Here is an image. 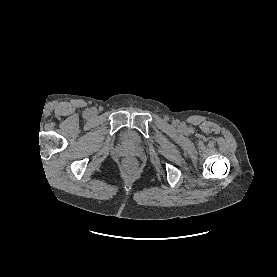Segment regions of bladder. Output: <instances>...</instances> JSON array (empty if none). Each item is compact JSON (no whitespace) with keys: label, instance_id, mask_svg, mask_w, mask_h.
<instances>
[{"label":"bladder","instance_id":"1","mask_svg":"<svg viewBox=\"0 0 277 277\" xmlns=\"http://www.w3.org/2000/svg\"><path fill=\"white\" fill-rule=\"evenodd\" d=\"M127 136H128L129 138H131V139H134V138H136V133L133 132V131H128V132H127Z\"/></svg>","mask_w":277,"mask_h":277}]
</instances>
